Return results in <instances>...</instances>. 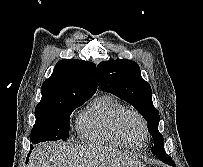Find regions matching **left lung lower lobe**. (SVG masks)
<instances>
[{"instance_id": "0a47b994", "label": "left lung lower lobe", "mask_w": 203, "mask_h": 167, "mask_svg": "<svg viewBox=\"0 0 203 167\" xmlns=\"http://www.w3.org/2000/svg\"><path fill=\"white\" fill-rule=\"evenodd\" d=\"M161 161L163 162H168L170 159V156H168L165 151H164V148L163 146L161 148H157V150L155 151V154Z\"/></svg>"}]
</instances>
